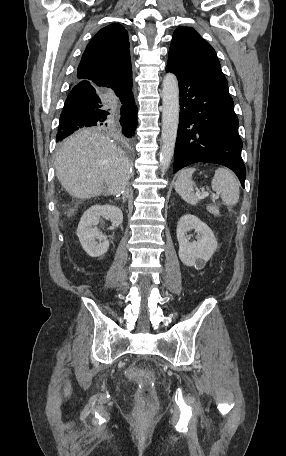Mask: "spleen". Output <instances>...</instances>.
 <instances>
[{
  "label": "spleen",
  "mask_w": 286,
  "mask_h": 456,
  "mask_svg": "<svg viewBox=\"0 0 286 456\" xmlns=\"http://www.w3.org/2000/svg\"><path fill=\"white\" fill-rule=\"evenodd\" d=\"M194 168H187L180 172L179 177L175 184L176 192L181 198L191 205H196L200 198L192 192L194 182L192 174ZM212 189L220 194L222 202L231 207L239 200V182L235 174L226 168H218L211 182Z\"/></svg>",
  "instance_id": "3e777b00"
}]
</instances>
